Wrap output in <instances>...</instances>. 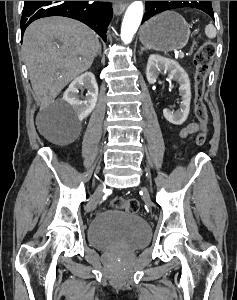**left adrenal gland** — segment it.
Masks as SVG:
<instances>
[{"mask_svg":"<svg viewBox=\"0 0 237 300\" xmlns=\"http://www.w3.org/2000/svg\"><path fill=\"white\" fill-rule=\"evenodd\" d=\"M143 51H145L144 47H141V53L140 55H142Z\"/></svg>","mask_w":237,"mask_h":300,"instance_id":"a2214340","label":"left adrenal gland"}]
</instances>
